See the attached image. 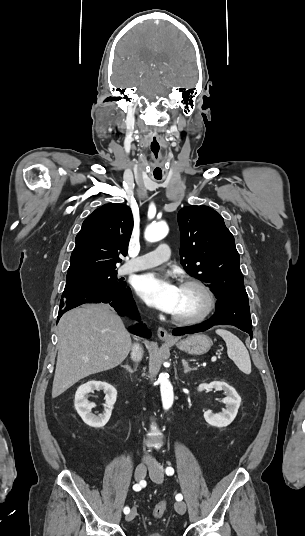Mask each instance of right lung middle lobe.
Returning <instances> with one entry per match:
<instances>
[{
  "label": "right lung middle lobe",
  "instance_id": "obj_1",
  "mask_svg": "<svg viewBox=\"0 0 305 536\" xmlns=\"http://www.w3.org/2000/svg\"><path fill=\"white\" fill-rule=\"evenodd\" d=\"M64 291L92 290L103 293H113L126 287L125 282L117 279V271L110 270L93 274L66 278Z\"/></svg>",
  "mask_w": 305,
  "mask_h": 536
}]
</instances>
